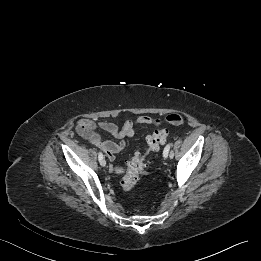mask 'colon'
<instances>
[{
	"mask_svg": "<svg viewBox=\"0 0 261 261\" xmlns=\"http://www.w3.org/2000/svg\"><path fill=\"white\" fill-rule=\"evenodd\" d=\"M181 122V119L178 117H172L169 124L178 125ZM168 134L169 130L167 128L154 131L147 137L144 150L137 151L131 158L127 165L126 173L120 180L121 188L125 192H129L135 187L141 175L146 172L147 157L159 150L160 146L166 142Z\"/></svg>",
	"mask_w": 261,
	"mask_h": 261,
	"instance_id": "5ec220e1",
	"label": "colon"
}]
</instances>
